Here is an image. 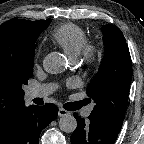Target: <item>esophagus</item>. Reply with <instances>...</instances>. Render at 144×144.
Instances as JSON below:
<instances>
[{
    "label": "esophagus",
    "mask_w": 144,
    "mask_h": 144,
    "mask_svg": "<svg viewBox=\"0 0 144 144\" xmlns=\"http://www.w3.org/2000/svg\"><path fill=\"white\" fill-rule=\"evenodd\" d=\"M69 114H70V112L63 109V108H60L59 111H58V116H60V117L67 116Z\"/></svg>",
    "instance_id": "esophagus-1"
}]
</instances>
